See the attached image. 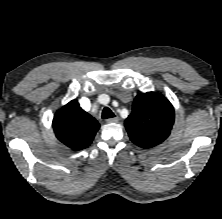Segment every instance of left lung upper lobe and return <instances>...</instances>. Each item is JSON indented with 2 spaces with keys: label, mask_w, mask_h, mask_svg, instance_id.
<instances>
[{
  "label": "left lung upper lobe",
  "mask_w": 222,
  "mask_h": 219,
  "mask_svg": "<svg viewBox=\"0 0 222 219\" xmlns=\"http://www.w3.org/2000/svg\"><path fill=\"white\" fill-rule=\"evenodd\" d=\"M173 122L172 104L163 95L148 92L134 99L125 127L133 143L142 148H152L169 136Z\"/></svg>",
  "instance_id": "5c2ea615"
}]
</instances>
